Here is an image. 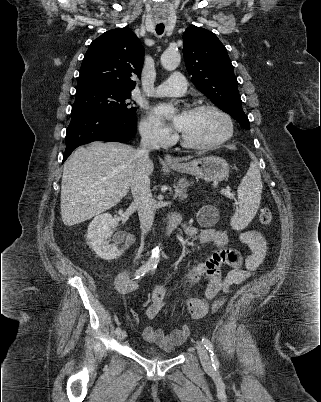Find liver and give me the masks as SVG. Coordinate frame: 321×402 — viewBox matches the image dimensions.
I'll use <instances>...</instances> for the list:
<instances>
[{
    "instance_id": "1",
    "label": "liver",
    "mask_w": 321,
    "mask_h": 402,
    "mask_svg": "<svg viewBox=\"0 0 321 402\" xmlns=\"http://www.w3.org/2000/svg\"><path fill=\"white\" fill-rule=\"evenodd\" d=\"M137 150L117 142L78 148L64 164L61 217L66 226L84 222L118 204L136 171ZM149 160V175L153 172Z\"/></svg>"
}]
</instances>
